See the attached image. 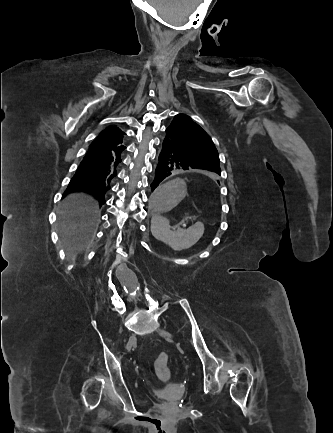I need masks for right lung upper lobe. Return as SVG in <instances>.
I'll return each mask as SVG.
<instances>
[{"instance_id":"cb5924a9","label":"right lung upper lobe","mask_w":333,"mask_h":433,"mask_svg":"<svg viewBox=\"0 0 333 433\" xmlns=\"http://www.w3.org/2000/svg\"><path fill=\"white\" fill-rule=\"evenodd\" d=\"M123 135L122 132L117 126H110L103 130L99 136L96 138L101 146H119L123 143Z\"/></svg>"}]
</instances>
